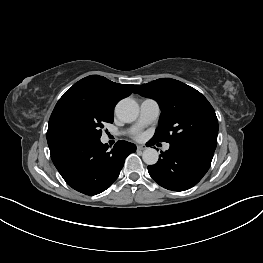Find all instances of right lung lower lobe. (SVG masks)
I'll list each match as a JSON object with an SVG mask.
<instances>
[{
    "mask_svg": "<svg viewBox=\"0 0 263 263\" xmlns=\"http://www.w3.org/2000/svg\"><path fill=\"white\" fill-rule=\"evenodd\" d=\"M52 161L73 189L96 195L117 179L126 157L136 151L127 141H118L110 150L99 140L62 142L49 146Z\"/></svg>",
    "mask_w": 263,
    "mask_h": 263,
    "instance_id": "1",
    "label": "right lung lower lobe"
}]
</instances>
